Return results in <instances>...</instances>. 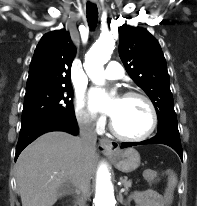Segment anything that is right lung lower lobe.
<instances>
[{
	"label": "right lung lower lobe",
	"mask_w": 197,
	"mask_h": 206,
	"mask_svg": "<svg viewBox=\"0 0 197 206\" xmlns=\"http://www.w3.org/2000/svg\"><path fill=\"white\" fill-rule=\"evenodd\" d=\"M50 131H66L73 135H77L78 125L75 115L46 117L26 125H21L15 160L27 145L40 135Z\"/></svg>",
	"instance_id": "98d812e1"
}]
</instances>
